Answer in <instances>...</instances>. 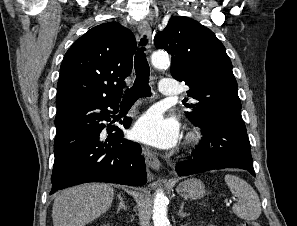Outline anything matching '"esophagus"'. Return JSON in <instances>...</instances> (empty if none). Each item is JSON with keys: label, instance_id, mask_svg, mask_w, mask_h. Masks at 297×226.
Listing matches in <instances>:
<instances>
[{"label": "esophagus", "instance_id": "obj_1", "mask_svg": "<svg viewBox=\"0 0 297 226\" xmlns=\"http://www.w3.org/2000/svg\"><path fill=\"white\" fill-rule=\"evenodd\" d=\"M138 31L141 35H147L148 38L151 36V28L149 23L146 20H142L138 24ZM144 155L146 163L154 170L160 169V161L158 157L149 149H144Z\"/></svg>", "mask_w": 297, "mask_h": 226}]
</instances>
